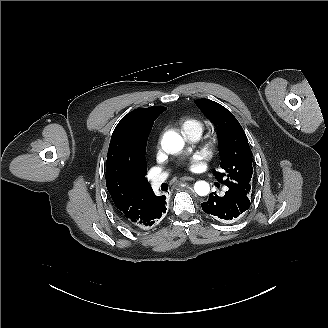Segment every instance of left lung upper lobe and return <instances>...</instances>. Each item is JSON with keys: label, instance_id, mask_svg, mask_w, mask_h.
Returning a JSON list of instances; mask_svg holds the SVG:
<instances>
[{"label": "left lung upper lobe", "instance_id": "obj_1", "mask_svg": "<svg viewBox=\"0 0 328 328\" xmlns=\"http://www.w3.org/2000/svg\"><path fill=\"white\" fill-rule=\"evenodd\" d=\"M201 111L214 123L218 132L220 171L213 170L215 178L229 189L248 196L252 182V151L246 134L224 106L209 100L195 101Z\"/></svg>", "mask_w": 328, "mask_h": 328}]
</instances>
